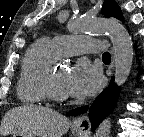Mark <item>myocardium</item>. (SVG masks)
<instances>
[{
  "label": "myocardium",
  "instance_id": "f54148a6",
  "mask_svg": "<svg viewBox=\"0 0 144 137\" xmlns=\"http://www.w3.org/2000/svg\"><path fill=\"white\" fill-rule=\"evenodd\" d=\"M44 89L48 99L65 102L68 100V95L59 90L55 82V69L51 67L44 79Z\"/></svg>",
  "mask_w": 144,
  "mask_h": 137
}]
</instances>
